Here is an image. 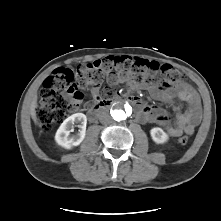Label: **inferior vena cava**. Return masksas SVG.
Listing matches in <instances>:
<instances>
[{
    "label": "inferior vena cava",
    "mask_w": 221,
    "mask_h": 221,
    "mask_svg": "<svg viewBox=\"0 0 221 221\" xmlns=\"http://www.w3.org/2000/svg\"><path fill=\"white\" fill-rule=\"evenodd\" d=\"M99 120L101 123H109L111 121V117L107 112H102L99 115Z\"/></svg>",
    "instance_id": "602c4592"
}]
</instances>
